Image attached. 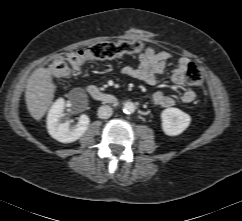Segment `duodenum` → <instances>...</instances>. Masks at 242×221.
<instances>
[{
    "label": "duodenum",
    "mask_w": 242,
    "mask_h": 221,
    "mask_svg": "<svg viewBox=\"0 0 242 221\" xmlns=\"http://www.w3.org/2000/svg\"><path fill=\"white\" fill-rule=\"evenodd\" d=\"M87 92L93 99L98 101H102L108 104H114L117 101L114 95L104 92L96 86H89L87 88Z\"/></svg>",
    "instance_id": "duodenum-1"
}]
</instances>
